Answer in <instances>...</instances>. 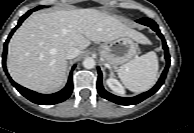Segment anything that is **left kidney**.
I'll use <instances>...</instances> for the list:
<instances>
[{
    "instance_id": "5707ae66",
    "label": "left kidney",
    "mask_w": 194,
    "mask_h": 133,
    "mask_svg": "<svg viewBox=\"0 0 194 133\" xmlns=\"http://www.w3.org/2000/svg\"><path fill=\"white\" fill-rule=\"evenodd\" d=\"M107 85L109 86V88L111 90H113L114 92H116L118 94L124 93V89H123L122 85L118 82V80H116L114 78H109L107 80Z\"/></svg>"
}]
</instances>
